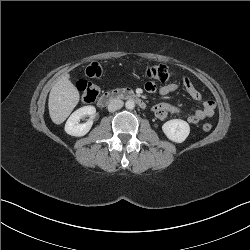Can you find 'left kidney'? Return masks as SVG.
I'll list each match as a JSON object with an SVG mask.
<instances>
[{
    "label": "left kidney",
    "instance_id": "1",
    "mask_svg": "<svg viewBox=\"0 0 250 250\" xmlns=\"http://www.w3.org/2000/svg\"><path fill=\"white\" fill-rule=\"evenodd\" d=\"M162 130L166 137L176 143H182L190 133L189 124L181 119H172L165 122Z\"/></svg>",
    "mask_w": 250,
    "mask_h": 250
}]
</instances>
